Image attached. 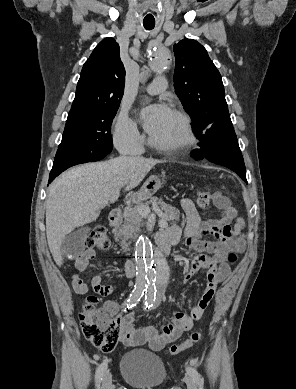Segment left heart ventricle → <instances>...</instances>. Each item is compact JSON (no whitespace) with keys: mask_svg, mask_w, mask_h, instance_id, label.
I'll return each instance as SVG.
<instances>
[{"mask_svg":"<svg viewBox=\"0 0 296 389\" xmlns=\"http://www.w3.org/2000/svg\"><path fill=\"white\" fill-rule=\"evenodd\" d=\"M152 137L161 143L178 141L182 137L181 121L176 115L170 112L161 128Z\"/></svg>","mask_w":296,"mask_h":389,"instance_id":"1","label":"left heart ventricle"}]
</instances>
